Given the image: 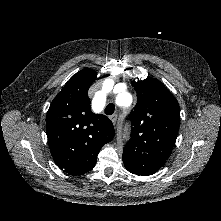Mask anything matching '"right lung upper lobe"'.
I'll use <instances>...</instances> for the list:
<instances>
[{
  "instance_id": "cb5924a9",
  "label": "right lung upper lobe",
  "mask_w": 221,
  "mask_h": 221,
  "mask_svg": "<svg viewBox=\"0 0 221 221\" xmlns=\"http://www.w3.org/2000/svg\"><path fill=\"white\" fill-rule=\"evenodd\" d=\"M97 74L90 68L76 73L52 101L46 131L57 166L71 175L90 171L105 143L114 138L113 124L90 109L88 90Z\"/></svg>"
}]
</instances>
